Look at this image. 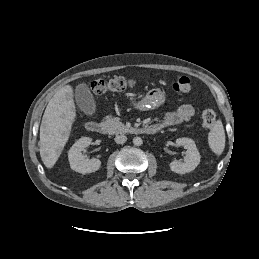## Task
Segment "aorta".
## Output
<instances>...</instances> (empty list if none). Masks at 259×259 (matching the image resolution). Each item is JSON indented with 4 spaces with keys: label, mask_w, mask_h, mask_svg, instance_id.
I'll return each mask as SVG.
<instances>
[{
    "label": "aorta",
    "mask_w": 259,
    "mask_h": 259,
    "mask_svg": "<svg viewBox=\"0 0 259 259\" xmlns=\"http://www.w3.org/2000/svg\"><path fill=\"white\" fill-rule=\"evenodd\" d=\"M142 143H143V141H142V139H141L140 137H135V138L133 139V144H134L135 146H141Z\"/></svg>",
    "instance_id": "762f6f07"
}]
</instances>
